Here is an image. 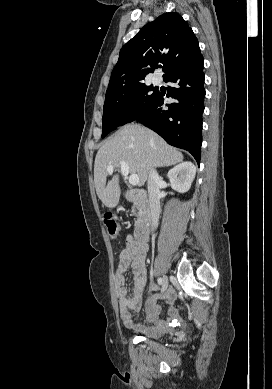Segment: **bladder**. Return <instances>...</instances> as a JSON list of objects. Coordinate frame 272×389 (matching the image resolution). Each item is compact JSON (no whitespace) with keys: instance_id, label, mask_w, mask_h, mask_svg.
Listing matches in <instances>:
<instances>
[{"instance_id":"bladder-1","label":"bladder","mask_w":272,"mask_h":389,"mask_svg":"<svg viewBox=\"0 0 272 389\" xmlns=\"http://www.w3.org/2000/svg\"><path fill=\"white\" fill-rule=\"evenodd\" d=\"M164 334H165L164 331L159 330V329H155L154 332L151 333V334H148V336H149L150 338L158 339V338L163 337Z\"/></svg>"}]
</instances>
